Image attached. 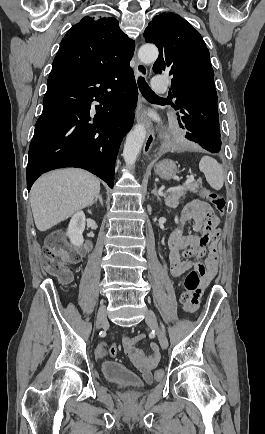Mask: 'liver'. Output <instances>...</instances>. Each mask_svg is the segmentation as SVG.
<instances>
[{
	"mask_svg": "<svg viewBox=\"0 0 265 434\" xmlns=\"http://www.w3.org/2000/svg\"><path fill=\"white\" fill-rule=\"evenodd\" d=\"M100 180L85 170H56L33 184L30 204L37 230L45 232L72 214L92 206Z\"/></svg>",
	"mask_w": 265,
	"mask_h": 434,
	"instance_id": "6515ba94",
	"label": "liver"
}]
</instances>
